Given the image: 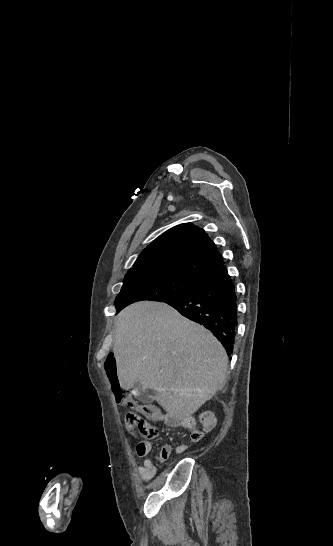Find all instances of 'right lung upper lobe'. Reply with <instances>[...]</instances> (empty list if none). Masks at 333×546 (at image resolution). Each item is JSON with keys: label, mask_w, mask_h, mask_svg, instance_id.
Masks as SVG:
<instances>
[{"label": "right lung upper lobe", "mask_w": 333, "mask_h": 546, "mask_svg": "<svg viewBox=\"0 0 333 546\" xmlns=\"http://www.w3.org/2000/svg\"><path fill=\"white\" fill-rule=\"evenodd\" d=\"M223 264L221 254L205 231L184 223L148 245L126 275L167 272L201 280Z\"/></svg>", "instance_id": "1"}]
</instances>
